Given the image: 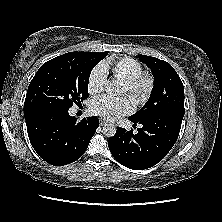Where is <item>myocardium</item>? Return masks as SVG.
Wrapping results in <instances>:
<instances>
[{
  "label": "myocardium",
  "instance_id": "myocardium-1",
  "mask_svg": "<svg viewBox=\"0 0 222 222\" xmlns=\"http://www.w3.org/2000/svg\"><path fill=\"white\" fill-rule=\"evenodd\" d=\"M125 92L135 105L145 103L150 97L153 87L154 78L147 73H141L131 81L124 83Z\"/></svg>",
  "mask_w": 222,
  "mask_h": 222
}]
</instances>
